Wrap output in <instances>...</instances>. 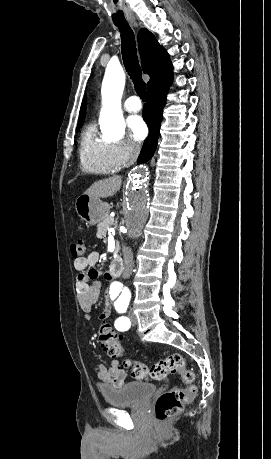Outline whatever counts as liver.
Instances as JSON below:
<instances>
[{
  "instance_id": "1",
  "label": "liver",
  "mask_w": 271,
  "mask_h": 459,
  "mask_svg": "<svg viewBox=\"0 0 271 459\" xmlns=\"http://www.w3.org/2000/svg\"><path fill=\"white\" fill-rule=\"evenodd\" d=\"M121 184V176H112V178L94 182L84 194L90 196V198H109V196H114V194L120 190Z\"/></svg>"
}]
</instances>
